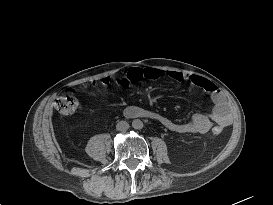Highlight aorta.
<instances>
[{
  "mask_svg": "<svg viewBox=\"0 0 273 205\" xmlns=\"http://www.w3.org/2000/svg\"><path fill=\"white\" fill-rule=\"evenodd\" d=\"M132 127L134 129H142L143 128V122L140 119H135L132 121Z\"/></svg>",
  "mask_w": 273,
  "mask_h": 205,
  "instance_id": "obj_1",
  "label": "aorta"
}]
</instances>
